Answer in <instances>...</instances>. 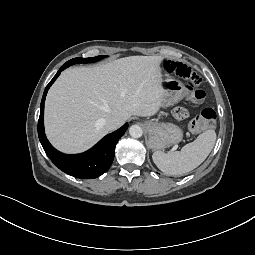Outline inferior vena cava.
Listing matches in <instances>:
<instances>
[{"label": "inferior vena cava", "instance_id": "obj_1", "mask_svg": "<svg viewBox=\"0 0 255 255\" xmlns=\"http://www.w3.org/2000/svg\"><path fill=\"white\" fill-rule=\"evenodd\" d=\"M121 125H122V121L114 116L107 118L105 121V127L107 128L108 131L116 130Z\"/></svg>", "mask_w": 255, "mask_h": 255}]
</instances>
